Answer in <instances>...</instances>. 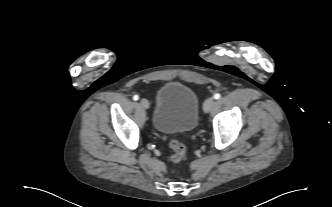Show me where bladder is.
Returning a JSON list of instances; mask_svg holds the SVG:
<instances>
[{"mask_svg":"<svg viewBox=\"0 0 332 207\" xmlns=\"http://www.w3.org/2000/svg\"><path fill=\"white\" fill-rule=\"evenodd\" d=\"M199 98L194 89L178 82L162 85L156 93L152 124L163 134L192 132L198 124Z\"/></svg>","mask_w":332,"mask_h":207,"instance_id":"obj_1","label":"bladder"}]
</instances>
